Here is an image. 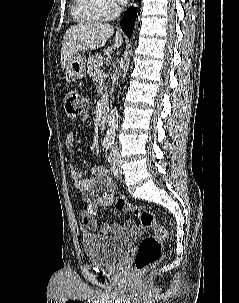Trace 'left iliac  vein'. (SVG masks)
Masks as SVG:
<instances>
[{
  "label": "left iliac vein",
  "instance_id": "obj_1",
  "mask_svg": "<svg viewBox=\"0 0 239 303\" xmlns=\"http://www.w3.org/2000/svg\"><path fill=\"white\" fill-rule=\"evenodd\" d=\"M112 171L116 178H118V179L122 178L123 173H122V169L120 167V163L118 160L115 164H113Z\"/></svg>",
  "mask_w": 239,
  "mask_h": 303
}]
</instances>
